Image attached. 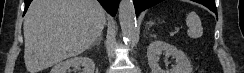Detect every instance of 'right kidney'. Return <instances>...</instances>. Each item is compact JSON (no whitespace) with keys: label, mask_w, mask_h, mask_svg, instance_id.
Instances as JSON below:
<instances>
[{"label":"right kidney","mask_w":244,"mask_h":73,"mask_svg":"<svg viewBox=\"0 0 244 73\" xmlns=\"http://www.w3.org/2000/svg\"><path fill=\"white\" fill-rule=\"evenodd\" d=\"M80 67H83L82 73H94L95 70V64L92 59L79 56L58 63L51 69L50 73H67L70 68L78 70Z\"/></svg>","instance_id":"obj_1"}]
</instances>
